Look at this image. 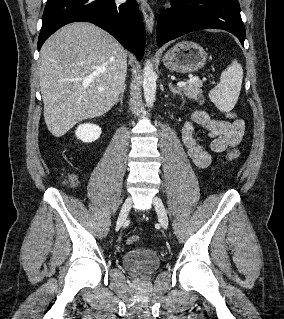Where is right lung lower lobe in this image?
<instances>
[{
	"mask_svg": "<svg viewBox=\"0 0 284 319\" xmlns=\"http://www.w3.org/2000/svg\"><path fill=\"white\" fill-rule=\"evenodd\" d=\"M78 21L91 22L113 35L125 48L141 59L145 48V28L137 3L129 0H47L38 50L60 27Z\"/></svg>",
	"mask_w": 284,
	"mask_h": 319,
	"instance_id": "right-lung-lower-lobe-1",
	"label": "right lung lower lobe"
}]
</instances>
